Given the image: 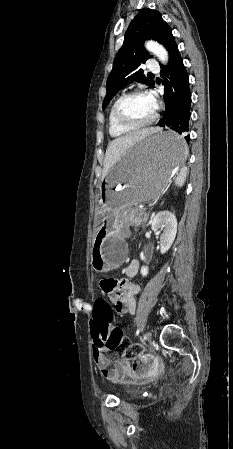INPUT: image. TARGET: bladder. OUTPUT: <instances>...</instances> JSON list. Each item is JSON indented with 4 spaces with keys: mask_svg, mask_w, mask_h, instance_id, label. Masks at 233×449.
<instances>
[{
    "mask_svg": "<svg viewBox=\"0 0 233 449\" xmlns=\"http://www.w3.org/2000/svg\"><path fill=\"white\" fill-rule=\"evenodd\" d=\"M126 395H127V398H131V397L135 396V393L132 390L127 389L126 390Z\"/></svg>",
    "mask_w": 233,
    "mask_h": 449,
    "instance_id": "obj_1",
    "label": "bladder"
}]
</instances>
